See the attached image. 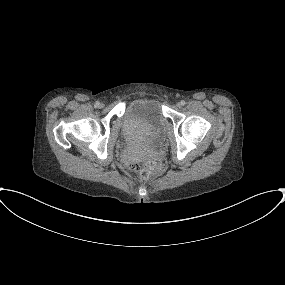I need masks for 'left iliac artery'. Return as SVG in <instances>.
Returning <instances> with one entry per match:
<instances>
[{"label": "left iliac artery", "instance_id": "obj_1", "mask_svg": "<svg viewBox=\"0 0 285 285\" xmlns=\"http://www.w3.org/2000/svg\"><path fill=\"white\" fill-rule=\"evenodd\" d=\"M180 103L182 106H184L186 104V102L184 100H182Z\"/></svg>", "mask_w": 285, "mask_h": 285}]
</instances>
